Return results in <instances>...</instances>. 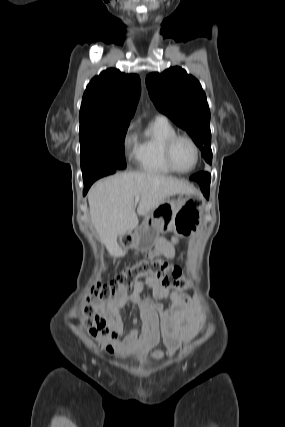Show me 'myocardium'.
Returning <instances> with one entry per match:
<instances>
[{"label":"myocardium","instance_id":"obj_1","mask_svg":"<svg viewBox=\"0 0 285 427\" xmlns=\"http://www.w3.org/2000/svg\"><path fill=\"white\" fill-rule=\"evenodd\" d=\"M180 139H185V140L189 141L191 143V145L193 146L194 151H195L194 164L189 170H185V171L178 169L175 166V164L173 162V158H172L173 147H174L175 143ZM164 158H165L166 164L168 165V167L173 172L178 173V174H189V173L193 172L198 166L199 159H200V149H199V146L196 143V141L191 136H189L187 134L176 133L175 135L171 136L166 141V144L164 147Z\"/></svg>","mask_w":285,"mask_h":427}]
</instances>
